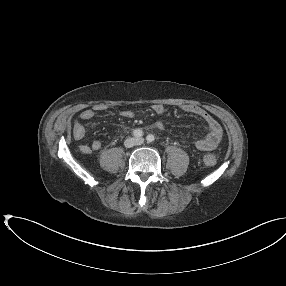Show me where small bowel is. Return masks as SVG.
<instances>
[{
  "label": "small bowel",
  "instance_id": "small-bowel-1",
  "mask_svg": "<svg viewBox=\"0 0 286 286\" xmlns=\"http://www.w3.org/2000/svg\"><path fill=\"white\" fill-rule=\"evenodd\" d=\"M104 107L96 106L95 108L84 109L79 118L74 120L71 124V133L75 140H82L86 135V129L83 122L91 120L95 117L98 111H102ZM183 111L191 113L201 117L207 124V134L195 141L196 147L203 151H210L215 149L222 137V128L220 124L202 107L193 104H185L182 106ZM152 110L158 116L162 115L165 111V107L162 104H154ZM121 116L124 118H132L134 112L129 109L121 111ZM154 127L158 130L164 129V122L158 119L154 123ZM102 147L101 140H94L91 144H80L78 151L82 154H90L94 151L100 150Z\"/></svg>",
  "mask_w": 286,
  "mask_h": 286
}]
</instances>
